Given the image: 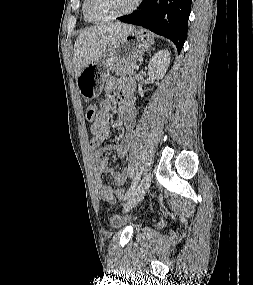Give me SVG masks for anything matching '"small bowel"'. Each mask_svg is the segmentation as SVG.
Instances as JSON below:
<instances>
[{
  "instance_id": "obj_1",
  "label": "small bowel",
  "mask_w": 253,
  "mask_h": 285,
  "mask_svg": "<svg viewBox=\"0 0 253 285\" xmlns=\"http://www.w3.org/2000/svg\"><path fill=\"white\" fill-rule=\"evenodd\" d=\"M134 88V81L129 78L110 77L105 84L107 93H116L117 95L119 104L117 113L127 130L126 135L117 146H102V143L110 135L109 119L112 109L110 101H101L99 110L96 108L95 117L91 120L90 130L93 136L90 139V147L93 149L95 186L101 199L110 205L115 204L122 197L118 193L119 189L114 193L112 187L104 184L102 175L111 173L115 184L121 186L128 180L131 165L127 164L118 170L113 169L110 167L109 158L105 153L115 148L118 156L124 157L131 148L132 134L136 130V109L133 104Z\"/></svg>"
}]
</instances>
